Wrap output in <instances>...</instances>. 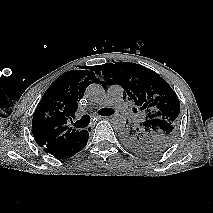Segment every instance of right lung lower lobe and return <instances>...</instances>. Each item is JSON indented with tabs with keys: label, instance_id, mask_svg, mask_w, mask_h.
<instances>
[{
	"label": "right lung lower lobe",
	"instance_id": "obj_1",
	"mask_svg": "<svg viewBox=\"0 0 213 213\" xmlns=\"http://www.w3.org/2000/svg\"><path fill=\"white\" fill-rule=\"evenodd\" d=\"M89 138V133L87 130H82L80 134L70 141L69 143L53 148L45 150V152L51 154L57 159H66L73 155H75L77 152L81 151L87 144Z\"/></svg>",
	"mask_w": 213,
	"mask_h": 213
}]
</instances>
